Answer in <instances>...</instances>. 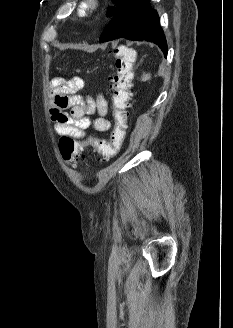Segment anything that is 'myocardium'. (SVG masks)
<instances>
[{
  "instance_id": "1",
  "label": "myocardium",
  "mask_w": 233,
  "mask_h": 328,
  "mask_svg": "<svg viewBox=\"0 0 233 328\" xmlns=\"http://www.w3.org/2000/svg\"><path fill=\"white\" fill-rule=\"evenodd\" d=\"M100 9L99 0H85L84 1V13L85 17H93Z\"/></svg>"
}]
</instances>
